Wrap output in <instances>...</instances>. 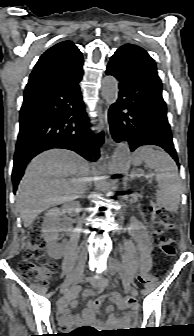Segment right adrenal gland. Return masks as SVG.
Wrapping results in <instances>:
<instances>
[{
	"label": "right adrenal gland",
	"instance_id": "2a0ac1e0",
	"mask_svg": "<svg viewBox=\"0 0 194 336\" xmlns=\"http://www.w3.org/2000/svg\"><path fill=\"white\" fill-rule=\"evenodd\" d=\"M92 187V180L89 178V180L87 181V185H86V191L89 190V188Z\"/></svg>",
	"mask_w": 194,
	"mask_h": 336
}]
</instances>
